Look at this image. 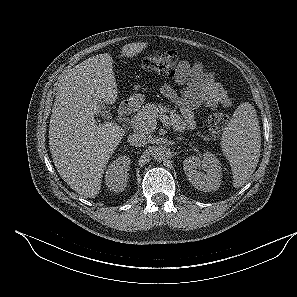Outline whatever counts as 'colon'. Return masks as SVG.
Returning <instances> with one entry per match:
<instances>
[{
  "instance_id": "obj_1",
  "label": "colon",
  "mask_w": 297,
  "mask_h": 297,
  "mask_svg": "<svg viewBox=\"0 0 297 297\" xmlns=\"http://www.w3.org/2000/svg\"><path fill=\"white\" fill-rule=\"evenodd\" d=\"M181 61L176 51L157 52L141 61V67L147 71H153L166 77H172ZM228 116L221 111L209 115L207 128L212 136L221 135L228 125Z\"/></svg>"
}]
</instances>
